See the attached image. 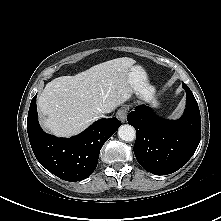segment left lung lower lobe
<instances>
[{
	"label": "left lung lower lobe",
	"mask_w": 221,
	"mask_h": 221,
	"mask_svg": "<svg viewBox=\"0 0 221 221\" xmlns=\"http://www.w3.org/2000/svg\"><path fill=\"white\" fill-rule=\"evenodd\" d=\"M186 91V109L178 120L157 117L145 105L137 106L127 121L137 132L134 153L139 164L156 175L171 174L195 153L201 138V118L197 101L189 89Z\"/></svg>",
	"instance_id": "left-lung-lower-lobe-1"
}]
</instances>
